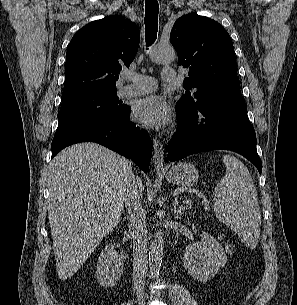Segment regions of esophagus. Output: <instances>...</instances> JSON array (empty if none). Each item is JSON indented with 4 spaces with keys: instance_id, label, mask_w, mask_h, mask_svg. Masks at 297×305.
<instances>
[{
    "instance_id": "esophagus-1",
    "label": "esophagus",
    "mask_w": 297,
    "mask_h": 305,
    "mask_svg": "<svg viewBox=\"0 0 297 305\" xmlns=\"http://www.w3.org/2000/svg\"><path fill=\"white\" fill-rule=\"evenodd\" d=\"M152 162H153L155 170H157V171L163 170L164 147H163L162 143L157 139L154 140Z\"/></svg>"
}]
</instances>
